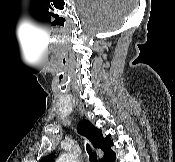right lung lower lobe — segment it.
Returning <instances> with one entry per match:
<instances>
[{
	"label": "right lung lower lobe",
	"instance_id": "right-lung-lower-lobe-1",
	"mask_svg": "<svg viewBox=\"0 0 175 162\" xmlns=\"http://www.w3.org/2000/svg\"><path fill=\"white\" fill-rule=\"evenodd\" d=\"M115 159H116V155H115V153H113V154L108 158V160H106V162H114Z\"/></svg>",
	"mask_w": 175,
	"mask_h": 162
}]
</instances>
